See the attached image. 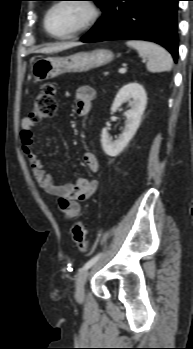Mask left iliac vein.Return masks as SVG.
I'll return each mask as SVG.
<instances>
[{"mask_svg": "<svg viewBox=\"0 0 193 349\" xmlns=\"http://www.w3.org/2000/svg\"><path fill=\"white\" fill-rule=\"evenodd\" d=\"M89 271L88 270H82L78 274V277L76 279V290H75V298L78 302H83L85 298V283L88 278Z\"/></svg>", "mask_w": 193, "mask_h": 349, "instance_id": "1", "label": "left iliac vein"}]
</instances>
